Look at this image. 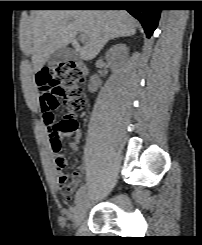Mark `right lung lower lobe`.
<instances>
[{"label":"right lung lower lobe","mask_w":202,"mask_h":245,"mask_svg":"<svg viewBox=\"0 0 202 245\" xmlns=\"http://www.w3.org/2000/svg\"><path fill=\"white\" fill-rule=\"evenodd\" d=\"M82 7H125L140 21L146 36L149 38L157 27L161 10L155 1H80Z\"/></svg>","instance_id":"right-lung-lower-lobe-1"}]
</instances>
